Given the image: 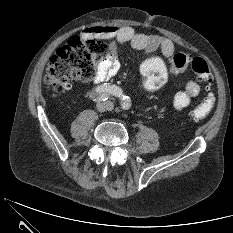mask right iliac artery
Masks as SVG:
<instances>
[{"mask_svg":"<svg viewBox=\"0 0 233 233\" xmlns=\"http://www.w3.org/2000/svg\"><path fill=\"white\" fill-rule=\"evenodd\" d=\"M111 95L122 97V90L115 85H103L97 87L96 90L91 94V98L96 102L106 101Z\"/></svg>","mask_w":233,"mask_h":233,"instance_id":"1","label":"right iliac artery"}]
</instances>
